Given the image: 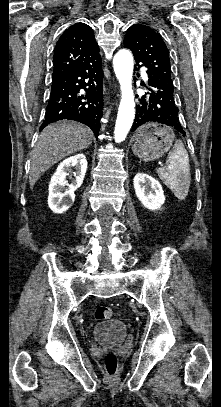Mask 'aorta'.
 <instances>
[{
  "mask_svg": "<svg viewBox=\"0 0 221 407\" xmlns=\"http://www.w3.org/2000/svg\"><path fill=\"white\" fill-rule=\"evenodd\" d=\"M113 67L121 88V101L114 138L116 142H121L130 131L135 117V102L132 90L133 56L131 52L126 49L117 52L113 58Z\"/></svg>",
  "mask_w": 221,
  "mask_h": 407,
  "instance_id": "aorta-1",
  "label": "aorta"
}]
</instances>
